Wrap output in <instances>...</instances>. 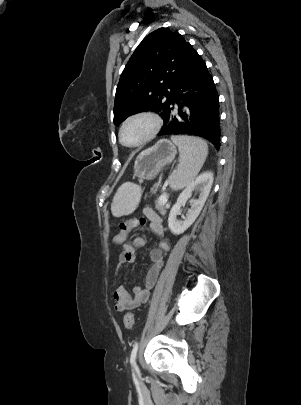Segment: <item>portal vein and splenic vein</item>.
Segmentation results:
<instances>
[{
	"label": "portal vein and splenic vein",
	"instance_id": "portal-vein-and-splenic-vein-1",
	"mask_svg": "<svg viewBox=\"0 0 301 405\" xmlns=\"http://www.w3.org/2000/svg\"><path fill=\"white\" fill-rule=\"evenodd\" d=\"M159 201L166 203V202H167V197H166V195H165V194L161 195V196L159 197Z\"/></svg>",
	"mask_w": 301,
	"mask_h": 405
}]
</instances>
